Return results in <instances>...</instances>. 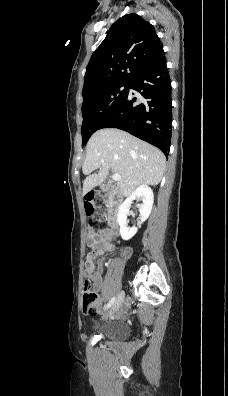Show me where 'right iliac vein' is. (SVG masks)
<instances>
[{
	"label": "right iliac vein",
	"mask_w": 228,
	"mask_h": 396,
	"mask_svg": "<svg viewBox=\"0 0 228 396\" xmlns=\"http://www.w3.org/2000/svg\"><path fill=\"white\" fill-rule=\"evenodd\" d=\"M124 297H125V294L123 291L118 294V296L114 302V305L112 307L111 313H115L121 307V305L124 301Z\"/></svg>",
	"instance_id": "right-iliac-vein-1"
}]
</instances>
